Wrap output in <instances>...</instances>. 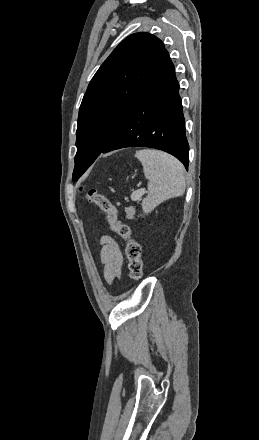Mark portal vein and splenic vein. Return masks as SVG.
<instances>
[{
  "label": "portal vein and splenic vein",
  "mask_w": 259,
  "mask_h": 440,
  "mask_svg": "<svg viewBox=\"0 0 259 440\" xmlns=\"http://www.w3.org/2000/svg\"><path fill=\"white\" fill-rule=\"evenodd\" d=\"M146 193V190L145 189H140L139 191H136V192H134L132 195H131V199L133 200V201H137L140 197H142L144 194Z\"/></svg>",
  "instance_id": "obj_1"
}]
</instances>
